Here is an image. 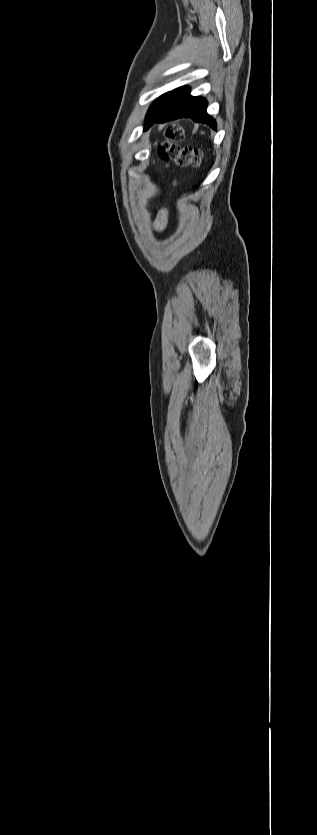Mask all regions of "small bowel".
<instances>
[{
  "label": "small bowel",
  "instance_id": "obj_1",
  "mask_svg": "<svg viewBox=\"0 0 317 835\" xmlns=\"http://www.w3.org/2000/svg\"><path fill=\"white\" fill-rule=\"evenodd\" d=\"M168 222V216L166 212H161L156 220V227L158 230L162 231L166 227Z\"/></svg>",
  "mask_w": 317,
  "mask_h": 835
}]
</instances>
